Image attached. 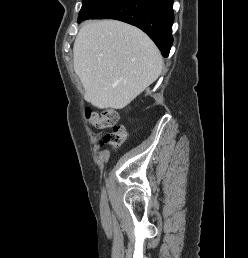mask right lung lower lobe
Wrapping results in <instances>:
<instances>
[{
	"instance_id": "98d812e1",
	"label": "right lung lower lobe",
	"mask_w": 248,
	"mask_h": 258,
	"mask_svg": "<svg viewBox=\"0 0 248 258\" xmlns=\"http://www.w3.org/2000/svg\"><path fill=\"white\" fill-rule=\"evenodd\" d=\"M92 19H116L137 26L164 57L169 55L173 43V0H115Z\"/></svg>"
}]
</instances>
